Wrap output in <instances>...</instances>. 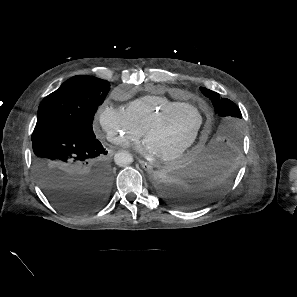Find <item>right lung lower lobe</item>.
<instances>
[{"mask_svg": "<svg viewBox=\"0 0 297 297\" xmlns=\"http://www.w3.org/2000/svg\"><path fill=\"white\" fill-rule=\"evenodd\" d=\"M31 140L39 184L59 210L84 214L106 202L113 175L104 158L107 151L95 136L62 129L39 133Z\"/></svg>", "mask_w": 297, "mask_h": 297, "instance_id": "98d812e1", "label": "right lung lower lobe"}]
</instances>
